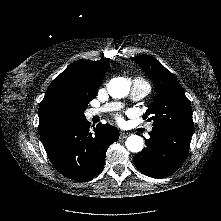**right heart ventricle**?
Returning <instances> with one entry per match:
<instances>
[{
	"label": "right heart ventricle",
	"instance_id": "obj_1",
	"mask_svg": "<svg viewBox=\"0 0 221 221\" xmlns=\"http://www.w3.org/2000/svg\"><path fill=\"white\" fill-rule=\"evenodd\" d=\"M134 83L145 84V85L149 86L148 82L145 79L141 78V77H136L134 79Z\"/></svg>",
	"mask_w": 221,
	"mask_h": 221
}]
</instances>
